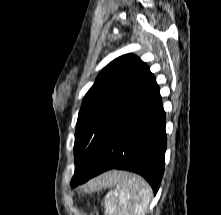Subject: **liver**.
Wrapping results in <instances>:
<instances>
[{
	"label": "liver",
	"mask_w": 221,
	"mask_h": 215,
	"mask_svg": "<svg viewBox=\"0 0 221 215\" xmlns=\"http://www.w3.org/2000/svg\"><path fill=\"white\" fill-rule=\"evenodd\" d=\"M112 174L111 172L106 173L102 176H100L99 178L91 181L88 186L91 188H96V187H100V186H106L112 179Z\"/></svg>",
	"instance_id": "liver-1"
}]
</instances>
